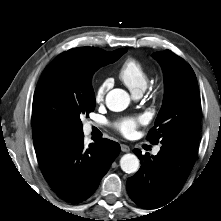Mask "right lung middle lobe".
Returning a JSON list of instances; mask_svg holds the SVG:
<instances>
[{"instance_id":"1","label":"right lung middle lobe","mask_w":221,"mask_h":221,"mask_svg":"<svg viewBox=\"0 0 221 221\" xmlns=\"http://www.w3.org/2000/svg\"><path fill=\"white\" fill-rule=\"evenodd\" d=\"M126 51L100 49L84 57L69 52L57 56L45 68L35 90L32 119L37 121L38 131L53 135L82 132L80 117L95 109L93 73L115 62Z\"/></svg>"}]
</instances>
